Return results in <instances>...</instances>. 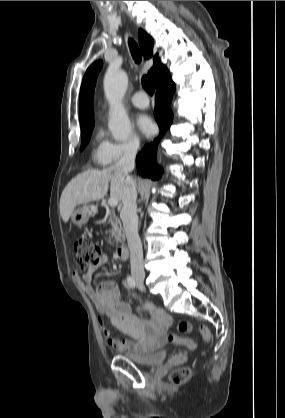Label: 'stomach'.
<instances>
[{
    "label": "stomach",
    "mask_w": 285,
    "mask_h": 418,
    "mask_svg": "<svg viewBox=\"0 0 285 418\" xmlns=\"http://www.w3.org/2000/svg\"><path fill=\"white\" fill-rule=\"evenodd\" d=\"M91 216V207L83 206L82 208L76 209L72 215V222L77 226H82L86 224Z\"/></svg>",
    "instance_id": "obj_1"
}]
</instances>
